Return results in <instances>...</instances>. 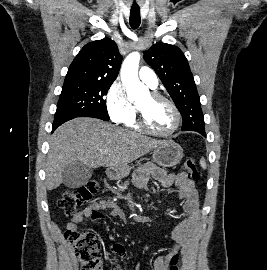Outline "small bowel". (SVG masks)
<instances>
[{
  "instance_id": "c3829d8e",
  "label": "small bowel",
  "mask_w": 267,
  "mask_h": 270,
  "mask_svg": "<svg viewBox=\"0 0 267 270\" xmlns=\"http://www.w3.org/2000/svg\"><path fill=\"white\" fill-rule=\"evenodd\" d=\"M150 178L158 180L163 187H169L175 184L178 189V199L183 201V211L185 217L177 223L170 232L171 239L175 242L174 248L165 256H158L153 263L154 270H168V264L171 258L179 250L184 248L196 232L200 220V210L198 204V193L195 183L187 179L183 173H168L165 170L148 164L141 168L134 177V183L137 187H144ZM109 209L113 216L123 218V210L112 201L100 200L93 201L77 212L71 219L68 226L78 228V225L84 218H91L94 221L103 219L102 210ZM112 253L120 258L126 256V250L120 243L112 246ZM113 270H123L119 264L114 263ZM135 270H140L137 266Z\"/></svg>"
}]
</instances>
